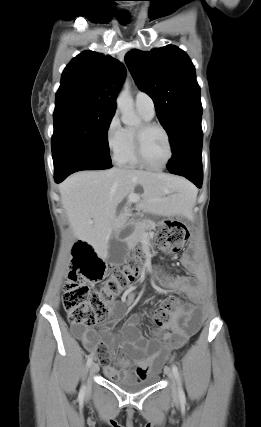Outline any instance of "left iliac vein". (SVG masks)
I'll return each instance as SVG.
<instances>
[{
	"mask_svg": "<svg viewBox=\"0 0 261 427\" xmlns=\"http://www.w3.org/2000/svg\"><path fill=\"white\" fill-rule=\"evenodd\" d=\"M164 372H165V374L168 376V378L171 380V383H172V393H173V395H174V396H176V395H177V388H176V384H175V376H174V373H173V371H172L170 368H168V367H166V368L164 369Z\"/></svg>",
	"mask_w": 261,
	"mask_h": 427,
	"instance_id": "1",
	"label": "left iliac vein"
}]
</instances>
